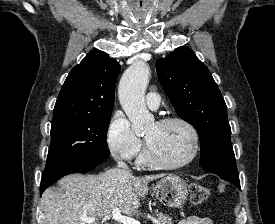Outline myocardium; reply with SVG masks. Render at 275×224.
I'll list each match as a JSON object with an SVG mask.
<instances>
[{
	"label": "myocardium",
	"mask_w": 275,
	"mask_h": 224,
	"mask_svg": "<svg viewBox=\"0 0 275 224\" xmlns=\"http://www.w3.org/2000/svg\"><path fill=\"white\" fill-rule=\"evenodd\" d=\"M180 123L184 125L190 132L192 141H193V146H192V152L190 156L184 160L183 162L177 163V164H168L159 161L154 154L151 151L150 146L148 145L147 141L145 142V151H144V159L145 162L157 169H163V170H177L184 168L188 165H190L197 157L199 153V148H200V138H199V133L196 129V127L187 119L180 117V116H166L161 119H159L156 123L160 126H164L170 123Z\"/></svg>",
	"instance_id": "myocardium-1"
}]
</instances>
